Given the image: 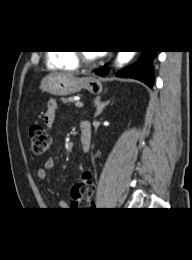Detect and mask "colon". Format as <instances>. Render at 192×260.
I'll use <instances>...</instances> for the list:
<instances>
[{
    "label": "colon",
    "instance_id": "5ec220e1",
    "mask_svg": "<svg viewBox=\"0 0 192 260\" xmlns=\"http://www.w3.org/2000/svg\"><path fill=\"white\" fill-rule=\"evenodd\" d=\"M32 151L35 155L45 154L51 143L47 130L39 124L32 125L29 129ZM95 185L91 173L84 172L72 189V197L75 202L92 204Z\"/></svg>",
    "mask_w": 192,
    "mask_h": 260
}]
</instances>
